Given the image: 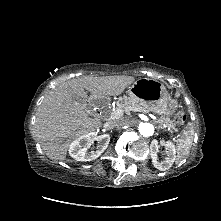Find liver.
Returning a JSON list of instances; mask_svg holds the SVG:
<instances>
[{
    "label": "liver",
    "mask_w": 221,
    "mask_h": 221,
    "mask_svg": "<svg viewBox=\"0 0 221 221\" xmlns=\"http://www.w3.org/2000/svg\"><path fill=\"white\" fill-rule=\"evenodd\" d=\"M134 77L118 75L72 79L47 93L39 106L34 135L46 155L53 160H65L69 144L77 137L102 127L100 119L88 117L86 102L71 100L76 95L87 101L84 89L95 98L117 96L132 83Z\"/></svg>",
    "instance_id": "obj_1"
}]
</instances>
